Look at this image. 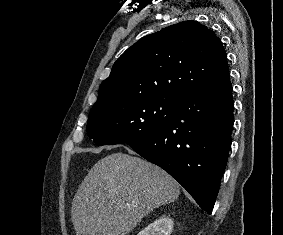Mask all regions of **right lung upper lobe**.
<instances>
[{"mask_svg": "<svg viewBox=\"0 0 283 235\" xmlns=\"http://www.w3.org/2000/svg\"><path fill=\"white\" fill-rule=\"evenodd\" d=\"M229 78L221 40L197 21L147 35L114 63L94 106L131 97H180ZM93 106V107H94Z\"/></svg>", "mask_w": 283, "mask_h": 235, "instance_id": "cb5924a9", "label": "right lung upper lobe"}]
</instances>
